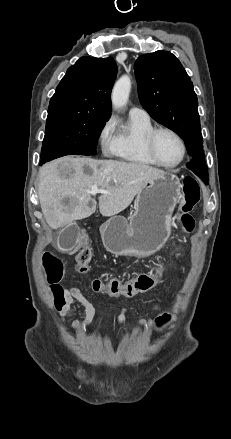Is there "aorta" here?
Segmentation results:
<instances>
[{
  "label": "aorta",
  "mask_w": 231,
  "mask_h": 439,
  "mask_svg": "<svg viewBox=\"0 0 231 439\" xmlns=\"http://www.w3.org/2000/svg\"><path fill=\"white\" fill-rule=\"evenodd\" d=\"M131 79L123 75L114 85L111 95L112 105L115 109L124 107L129 99Z\"/></svg>",
  "instance_id": "aorta-1"
}]
</instances>
